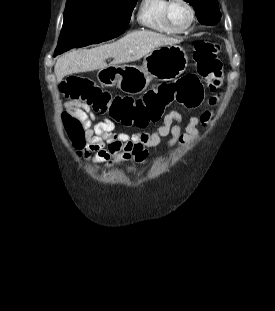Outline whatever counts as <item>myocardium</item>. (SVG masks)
<instances>
[{"label":"myocardium","instance_id":"f54148a6","mask_svg":"<svg viewBox=\"0 0 275 311\" xmlns=\"http://www.w3.org/2000/svg\"><path fill=\"white\" fill-rule=\"evenodd\" d=\"M176 1H181L182 3H184L190 11V21H189L188 25L183 27V28L176 27L170 19V15H169L170 8ZM164 19H165L167 25L171 29H173L175 32L183 33V32L188 31L193 26V24L196 20V11H195V8L193 7V5L188 0H168V3L166 4V6L164 8Z\"/></svg>","mask_w":275,"mask_h":311}]
</instances>
